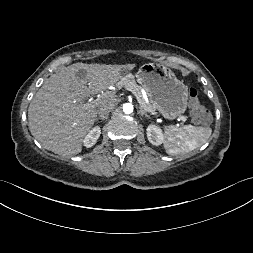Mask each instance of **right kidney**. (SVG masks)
<instances>
[{
    "mask_svg": "<svg viewBox=\"0 0 253 253\" xmlns=\"http://www.w3.org/2000/svg\"><path fill=\"white\" fill-rule=\"evenodd\" d=\"M101 134V129L99 126L94 127L90 132L84 137L83 144L85 147H92L98 140Z\"/></svg>",
    "mask_w": 253,
    "mask_h": 253,
    "instance_id": "obj_1",
    "label": "right kidney"
}]
</instances>
